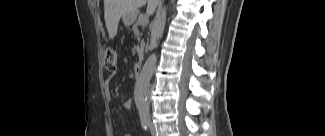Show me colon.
I'll use <instances>...</instances> for the list:
<instances>
[{"label":"colon","mask_w":325,"mask_h":136,"mask_svg":"<svg viewBox=\"0 0 325 136\" xmlns=\"http://www.w3.org/2000/svg\"><path fill=\"white\" fill-rule=\"evenodd\" d=\"M104 66L108 71H115L118 63V52L115 47L107 45L103 49Z\"/></svg>","instance_id":"5ec220e1"}]
</instances>
